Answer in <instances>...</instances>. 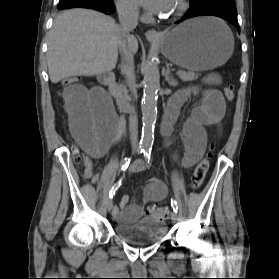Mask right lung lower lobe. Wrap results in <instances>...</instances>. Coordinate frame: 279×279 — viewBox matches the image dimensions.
Instances as JSON below:
<instances>
[{"label": "right lung lower lobe", "mask_w": 279, "mask_h": 279, "mask_svg": "<svg viewBox=\"0 0 279 279\" xmlns=\"http://www.w3.org/2000/svg\"><path fill=\"white\" fill-rule=\"evenodd\" d=\"M75 7L91 8L105 14H111L115 11L113 3L106 0H60L58 5V9Z\"/></svg>", "instance_id": "1"}]
</instances>
